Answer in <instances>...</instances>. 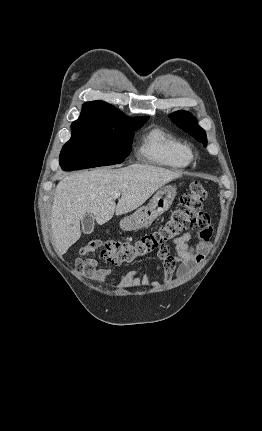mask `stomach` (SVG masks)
Wrapping results in <instances>:
<instances>
[{"mask_svg":"<svg viewBox=\"0 0 262 431\" xmlns=\"http://www.w3.org/2000/svg\"><path fill=\"white\" fill-rule=\"evenodd\" d=\"M176 193L174 186L161 187L146 206L140 207L130 216L124 217L120 221V228L124 231H132L150 226L156 218L170 208Z\"/></svg>","mask_w":262,"mask_h":431,"instance_id":"obj_1","label":"stomach"}]
</instances>
